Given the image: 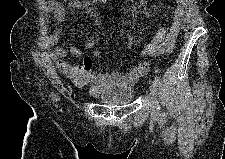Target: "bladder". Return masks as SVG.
Returning a JSON list of instances; mask_svg holds the SVG:
<instances>
[{"mask_svg": "<svg viewBox=\"0 0 225 159\" xmlns=\"http://www.w3.org/2000/svg\"><path fill=\"white\" fill-rule=\"evenodd\" d=\"M134 97V89L124 85L109 86L99 94L100 102L107 105H127L134 100Z\"/></svg>", "mask_w": 225, "mask_h": 159, "instance_id": "31cf9c89", "label": "bladder"}]
</instances>
